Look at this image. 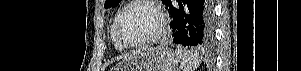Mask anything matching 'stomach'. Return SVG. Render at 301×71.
I'll return each mask as SVG.
<instances>
[{
	"label": "stomach",
	"mask_w": 301,
	"mask_h": 71,
	"mask_svg": "<svg viewBox=\"0 0 301 71\" xmlns=\"http://www.w3.org/2000/svg\"><path fill=\"white\" fill-rule=\"evenodd\" d=\"M179 61L166 46L147 47L125 57L115 71H175Z\"/></svg>",
	"instance_id": "obj_1"
}]
</instances>
